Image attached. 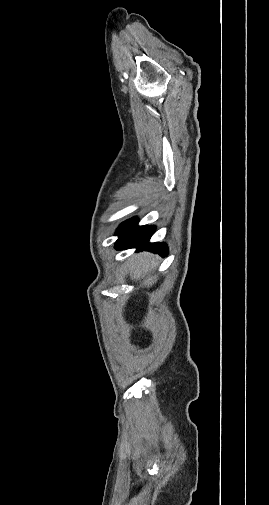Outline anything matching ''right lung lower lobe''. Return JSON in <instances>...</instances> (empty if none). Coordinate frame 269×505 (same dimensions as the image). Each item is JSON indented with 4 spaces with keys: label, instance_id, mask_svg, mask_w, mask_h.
<instances>
[{
    "label": "right lung lower lobe",
    "instance_id": "right-lung-lower-lobe-1",
    "mask_svg": "<svg viewBox=\"0 0 269 505\" xmlns=\"http://www.w3.org/2000/svg\"><path fill=\"white\" fill-rule=\"evenodd\" d=\"M135 218L122 223L117 230L119 236L115 244L116 250L138 247L141 250H147L157 253L161 256L168 254V248L165 243H149V239L155 231V226H138Z\"/></svg>",
    "mask_w": 269,
    "mask_h": 505
}]
</instances>
